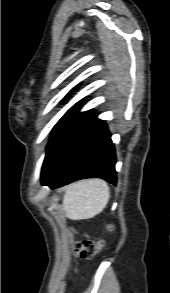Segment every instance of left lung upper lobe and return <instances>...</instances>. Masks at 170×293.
<instances>
[{
  "label": "left lung upper lobe",
  "mask_w": 170,
  "mask_h": 293,
  "mask_svg": "<svg viewBox=\"0 0 170 293\" xmlns=\"http://www.w3.org/2000/svg\"><path fill=\"white\" fill-rule=\"evenodd\" d=\"M82 100L72 106L57 122L47 146L42 174L54 163L73 136L94 116L92 110L78 113Z\"/></svg>",
  "instance_id": "5c2ea615"
}]
</instances>
